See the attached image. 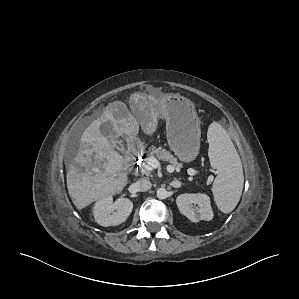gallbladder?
Here are the masks:
<instances>
[{"mask_svg": "<svg viewBox=\"0 0 299 299\" xmlns=\"http://www.w3.org/2000/svg\"><path fill=\"white\" fill-rule=\"evenodd\" d=\"M100 131L105 137H108L111 139L113 146H115L118 150L123 151L124 146L121 143V141H117L114 138L115 133L113 131L112 123H110V122L103 123L100 127Z\"/></svg>", "mask_w": 299, "mask_h": 299, "instance_id": "gallbladder-1", "label": "gallbladder"}]
</instances>
